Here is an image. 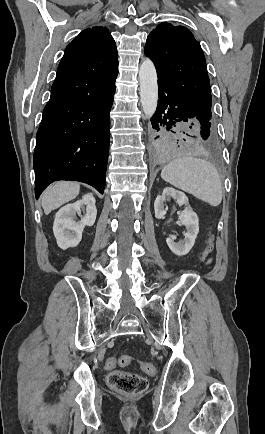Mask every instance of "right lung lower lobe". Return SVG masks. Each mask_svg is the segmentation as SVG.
I'll return each mask as SVG.
<instances>
[{
    "mask_svg": "<svg viewBox=\"0 0 265 434\" xmlns=\"http://www.w3.org/2000/svg\"><path fill=\"white\" fill-rule=\"evenodd\" d=\"M117 74V52L64 53L36 137V198L57 180L103 194Z\"/></svg>",
    "mask_w": 265,
    "mask_h": 434,
    "instance_id": "98d812e1",
    "label": "right lung lower lobe"
}]
</instances>
